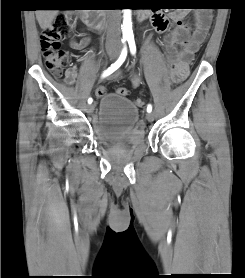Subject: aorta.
I'll return each instance as SVG.
<instances>
[{"label": "aorta", "instance_id": "obj_1", "mask_svg": "<svg viewBox=\"0 0 245 278\" xmlns=\"http://www.w3.org/2000/svg\"><path fill=\"white\" fill-rule=\"evenodd\" d=\"M122 33L124 37L133 35L132 22H131V9H124Z\"/></svg>", "mask_w": 245, "mask_h": 278}]
</instances>
